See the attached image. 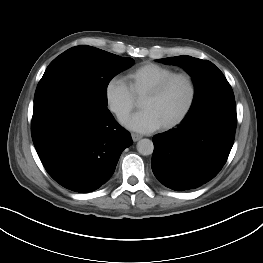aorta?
Segmentation results:
<instances>
[{"mask_svg": "<svg viewBox=\"0 0 263 263\" xmlns=\"http://www.w3.org/2000/svg\"><path fill=\"white\" fill-rule=\"evenodd\" d=\"M154 150V144L150 139H141L137 143V151L144 156L151 155Z\"/></svg>", "mask_w": 263, "mask_h": 263, "instance_id": "obj_1", "label": "aorta"}]
</instances>
